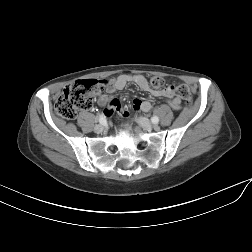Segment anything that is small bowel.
Here are the masks:
<instances>
[{
    "label": "small bowel",
    "mask_w": 252,
    "mask_h": 252,
    "mask_svg": "<svg viewBox=\"0 0 252 252\" xmlns=\"http://www.w3.org/2000/svg\"><path fill=\"white\" fill-rule=\"evenodd\" d=\"M129 84L137 86L141 91H150L147 79L141 74H121L118 77L109 80L105 88L106 94L99 95L97 100L100 106L108 104V109L105 110V115L109 116L114 111H117L123 117L128 116V112L121 107L119 101L111 96V94L124 89ZM152 94L156 97L168 98L169 104L174 110H179L181 108V100L175 96L172 87L152 91ZM133 104L136 109L145 112L152 108L151 102L145 100L136 99Z\"/></svg>",
    "instance_id": "small-bowel-1"
}]
</instances>
